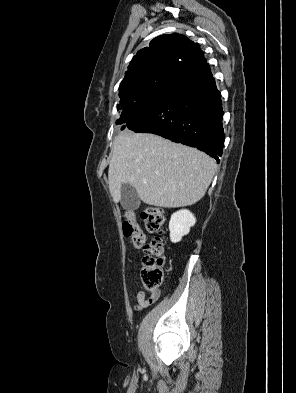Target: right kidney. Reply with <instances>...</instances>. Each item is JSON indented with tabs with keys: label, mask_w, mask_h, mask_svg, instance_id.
I'll list each match as a JSON object with an SVG mask.
<instances>
[{
	"label": "right kidney",
	"mask_w": 296,
	"mask_h": 393,
	"mask_svg": "<svg viewBox=\"0 0 296 393\" xmlns=\"http://www.w3.org/2000/svg\"><path fill=\"white\" fill-rule=\"evenodd\" d=\"M195 223L196 218L187 209L179 210L173 213L169 222L171 242H180L182 237L190 232V228L193 227Z\"/></svg>",
	"instance_id": "1"
}]
</instances>
